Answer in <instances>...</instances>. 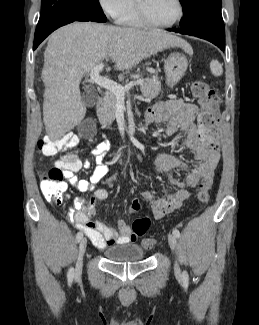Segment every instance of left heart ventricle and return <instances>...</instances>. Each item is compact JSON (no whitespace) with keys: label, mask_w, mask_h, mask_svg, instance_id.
Masks as SVG:
<instances>
[{"label":"left heart ventricle","mask_w":259,"mask_h":325,"mask_svg":"<svg viewBox=\"0 0 259 325\" xmlns=\"http://www.w3.org/2000/svg\"><path fill=\"white\" fill-rule=\"evenodd\" d=\"M147 16L156 23L166 24L177 15L175 0H142Z\"/></svg>","instance_id":"1"}]
</instances>
